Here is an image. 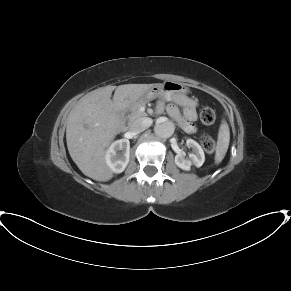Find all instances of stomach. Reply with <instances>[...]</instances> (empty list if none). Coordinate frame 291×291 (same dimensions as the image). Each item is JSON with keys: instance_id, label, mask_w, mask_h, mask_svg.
Returning <instances> with one entry per match:
<instances>
[{"instance_id": "1", "label": "stomach", "mask_w": 291, "mask_h": 291, "mask_svg": "<svg viewBox=\"0 0 291 291\" xmlns=\"http://www.w3.org/2000/svg\"><path fill=\"white\" fill-rule=\"evenodd\" d=\"M183 86L179 83L172 81H165L162 84L153 85L146 95L144 96V100H150L155 98L156 96L163 95L165 97H170L176 91H183Z\"/></svg>"}]
</instances>
